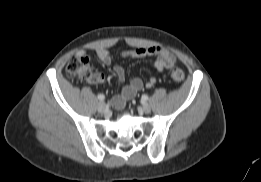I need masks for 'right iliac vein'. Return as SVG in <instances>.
I'll use <instances>...</instances> for the list:
<instances>
[{
    "label": "right iliac vein",
    "mask_w": 261,
    "mask_h": 182,
    "mask_svg": "<svg viewBox=\"0 0 261 182\" xmlns=\"http://www.w3.org/2000/svg\"><path fill=\"white\" fill-rule=\"evenodd\" d=\"M97 110L100 112V113H103L105 112L106 110V105L104 102H99L98 105H97Z\"/></svg>",
    "instance_id": "63e3f726"
}]
</instances>
